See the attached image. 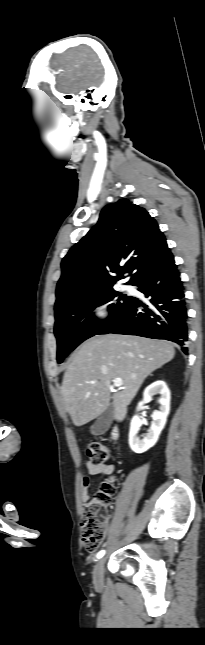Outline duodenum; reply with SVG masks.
Wrapping results in <instances>:
<instances>
[{
	"instance_id": "obj_1",
	"label": "duodenum",
	"mask_w": 205,
	"mask_h": 645,
	"mask_svg": "<svg viewBox=\"0 0 205 645\" xmlns=\"http://www.w3.org/2000/svg\"><path fill=\"white\" fill-rule=\"evenodd\" d=\"M112 436H113V438H116V437L118 436V434H117V431H116V430H114V431L112 432Z\"/></svg>"
}]
</instances>
